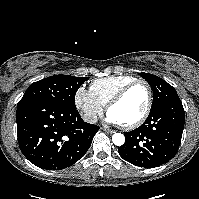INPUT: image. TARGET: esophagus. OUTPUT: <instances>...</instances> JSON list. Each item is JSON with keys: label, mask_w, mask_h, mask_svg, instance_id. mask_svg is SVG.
Masks as SVG:
<instances>
[{"label": "esophagus", "mask_w": 199, "mask_h": 199, "mask_svg": "<svg viewBox=\"0 0 199 199\" xmlns=\"http://www.w3.org/2000/svg\"><path fill=\"white\" fill-rule=\"evenodd\" d=\"M103 130H104V131H106V132H108V133H110V134L115 133V131H114V130L109 129V128H107V127H103Z\"/></svg>", "instance_id": "34e87169"}]
</instances>
